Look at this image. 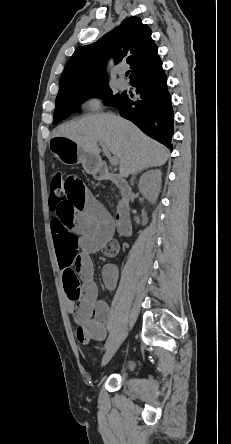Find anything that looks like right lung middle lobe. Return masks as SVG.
Returning a JSON list of instances; mask_svg holds the SVG:
<instances>
[{
  "mask_svg": "<svg viewBox=\"0 0 231 444\" xmlns=\"http://www.w3.org/2000/svg\"><path fill=\"white\" fill-rule=\"evenodd\" d=\"M95 94L105 97L110 105H114L124 96L120 93L113 95L112 90L108 85L77 89L58 94L56 97L53 124L55 125L67 118L74 111L75 107L79 105L83 98Z\"/></svg>",
  "mask_w": 231,
  "mask_h": 444,
  "instance_id": "obj_1",
  "label": "right lung middle lobe"
}]
</instances>
